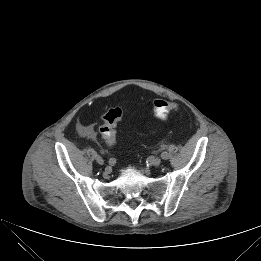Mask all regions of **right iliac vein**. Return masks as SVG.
Masks as SVG:
<instances>
[{
    "label": "right iliac vein",
    "mask_w": 261,
    "mask_h": 261,
    "mask_svg": "<svg viewBox=\"0 0 261 261\" xmlns=\"http://www.w3.org/2000/svg\"><path fill=\"white\" fill-rule=\"evenodd\" d=\"M95 160H96V162H97L99 165H101V166L105 164L103 158L100 157V156H96Z\"/></svg>",
    "instance_id": "1"
}]
</instances>
